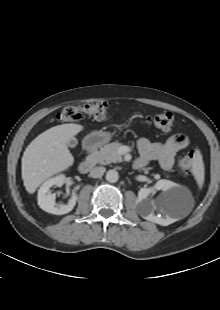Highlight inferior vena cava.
<instances>
[{"instance_id": "obj_1", "label": "inferior vena cava", "mask_w": 220, "mask_h": 310, "mask_svg": "<svg viewBox=\"0 0 220 310\" xmlns=\"http://www.w3.org/2000/svg\"><path fill=\"white\" fill-rule=\"evenodd\" d=\"M105 170L106 169L104 167H101V166L100 167H95V168H93L91 170L90 176L92 178H99V177H101L104 174Z\"/></svg>"}]
</instances>
